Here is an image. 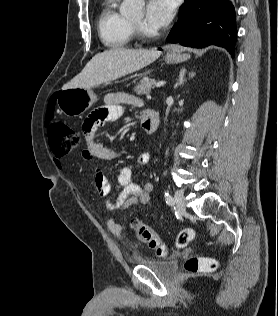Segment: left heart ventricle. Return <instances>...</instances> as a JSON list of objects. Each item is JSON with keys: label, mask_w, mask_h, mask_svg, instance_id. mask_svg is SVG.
<instances>
[{"label": "left heart ventricle", "mask_w": 278, "mask_h": 316, "mask_svg": "<svg viewBox=\"0 0 278 316\" xmlns=\"http://www.w3.org/2000/svg\"><path fill=\"white\" fill-rule=\"evenodd\" d=\"M134 21H135V22L142 23V22H143V17H142V16H139V17L135 18Z\"/></svg>", "instance_id": "left-heart-ventricle-1"}]
</instances>
